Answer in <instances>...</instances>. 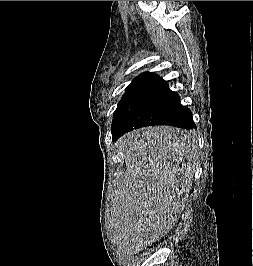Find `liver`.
<instances>
[{"mask_svg": "<svg viewBox=\"0 0 253 266\" xmlns=\"http://www.w3.org/2000/svg\"><path fill=\"white\" fill-rule=\"evenodd\" d=\"M118 144L126 170L114 195V236L130 257L175 225L192 186L199 149L194 132L170 126L134 130Z\"/></svg>", "mask_w": 253, "mask_h": 266, "instance_id": "1", "label": "liver"}]
</instances>
